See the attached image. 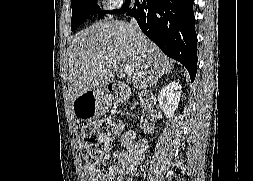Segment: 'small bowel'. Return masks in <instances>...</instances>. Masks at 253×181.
Instances as JSON below:
<instances>
[{"instance_id": "1", "label": "small bowel", "mask_w": 253, "mask_h": 181, "mask_svg": "<svg viewBox=\"0 0 253 181\" xmlns=\"http://www.w3.org/2000/svg\"><path fill=\"white\" fill-rule=\"evenodd\" d=\"M120 144L122 148L113 154L117 163L105 172L94 165L85 166L84 172L89 181H124L137 176V167L144 159L147 143L127 131L121 135ZM108 159L109 156H106L104 162Z\"/></svg>"}]
</instances>
